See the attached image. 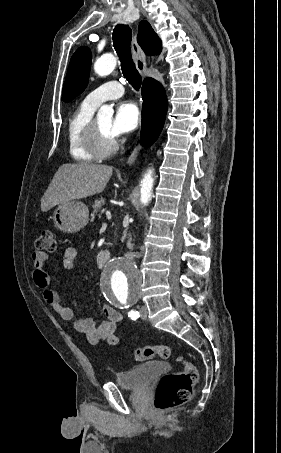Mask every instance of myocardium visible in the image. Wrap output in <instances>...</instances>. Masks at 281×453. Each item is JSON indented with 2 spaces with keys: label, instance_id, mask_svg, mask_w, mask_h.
I'll return each instance as SVG.
<instances>
[{
  "label": "myocardium",
  "instance_id": "f54148a6",
  "mask_svg": "<svg viewBox=\"0 0 281 453\" xmlns=\"http://www.w3.org/2000/svg\"><path fill=\"white\" fill-rule=\"evenodd\" d=\"M87 143L91 153L98 157H110L120 148V143L115 137L111 139L105 137L96 119L92 120L89 127Z\"/></svg>",
  "mask_w": 281,
  "mask_h": 453
}]
</instances>
